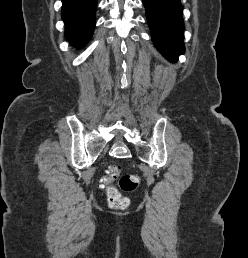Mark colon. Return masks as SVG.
Instances as JSON below:
<instances>
[{"mask_svg":"<svg viewBox=\"0 0 248 258\" xmlns=\"http://www.w3.org/2000/svg\"><path fill=\"white\" fill-rule=\"evenodd\" d=\"M121 168L118 165L110 166L109 172L106 177H104V182L109 183L118 179L119 186L121 190L125 192H133L139 186V177L135 174H124L119 177ZM107 196L109 205L114 209H125L129 200L123 196L116 188L108 187Z\"/></svg>","mask_w":248,"mask_h":258,"instance_id":"colon-1","label":"colon"}]
</instances>
